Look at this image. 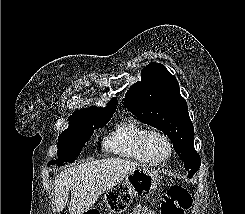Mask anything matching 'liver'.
Returning <instances> with one entry per match:
<instances>
[{
    "label": "liver",
    "instance_id": "6515ba94",
    "mask_svg": "<svg viewBox=\"0 0 245 214\" xmlns=\"http://www.w3.org/2000/svg\"><path fill=\"white\" fill-rule=\"evenodd\" d=\"M137 164L119 158L91 160L61 171L55 178V209L61 212L68 201L70 214H83L99 196L120 183Z\"/></svg>",
    "mask_w": 245,
    "mask_h": 214
}]
</instances>
